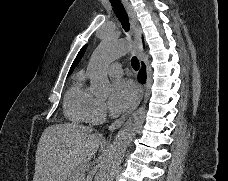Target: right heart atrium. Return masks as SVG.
I'll return each mask as SVG.
<instances>
[{
  "label": "right heart atrium",
  "instance_id": "1",
  "mask_svg": "<svg viewBox=\"0 0 228 181\" xmlns=\"http://www.w3.org/2000/svg\"><path fill=\"white\" fill-rule=\"evenodd\" d=\"M107 107L102 98H94L91 106L88 121L93 124L102 122L106 116Z\"/></svg>",
  "mask_w": 228,
  "mask_h": 181
}]
</instances>
